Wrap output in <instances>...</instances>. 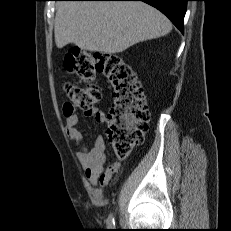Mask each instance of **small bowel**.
I'll return each mask as SVG.
<instances>
[{
  "label": "small bowel",
  "mask_w": 231,
  "mask_h": 231,
  "mask_svg": "<svg viewBox=\"0 0 231 231\" xmlns=\"http://www.w3.org/2000/svg\"><path fill=\"white\" fill-rule=\"evenodd\" d=\"M66 132L71 140H73L78 146L79 151L76 156L79 163L85 170V175L89 182L96 186L100 181L103 186L109 184L112 176L119 169V162L115 161L113 164L105 167L106 162V145L102 136H97L92 147H88L84 144V138L82 132L78 129L79 117L74 112H67L66 107ZM86 115L93 116L98 122H106V116L104 112L100 110H90L86 112Z\"/></svg>",
  "instance_id": "1"
}]
</instances>
